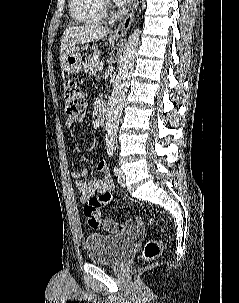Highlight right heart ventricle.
<instances>
[{"mask_svg":"<svg viewBox=\"0 0 239 303\" xmlns=\"http://www.w3.org/2000/svg\"><path fill=\"white\" fill-rule=\"evenodd\" d=\"M69 8L77 23H99L105 18L103 0H69Z\"/></svg>","mask_w":239,"mask_h":303,"instance_id":"e07e8e85","label":"right heart ventricle"}]
</instances>
